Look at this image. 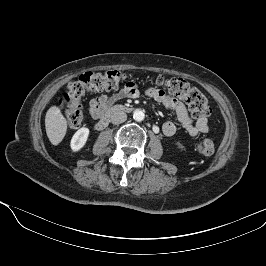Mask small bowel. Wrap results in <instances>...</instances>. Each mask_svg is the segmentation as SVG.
<instances>
[{"label":"small bowel","mask_w":266,"mask_h":266,"mask_svg":"<svg viewBox=\"0 0 266 266\" xmlns=\"http://www.w3.org/2000/svg\"><path fill=\"white\" fill-rule=\"evenodd\" d=\"M145 95L163 104L165 107L172 110L183 129L190 135L207 133L210 129L207 116H200L194 119L188 112L185 105L176 97L170 95L164 90L149 88L145 91ZM140 90L134 83H128L122 90L112 96L101 95L91 99L88 107L89 114L92 118L98 119L102 116L105 109L114 102L123 98H138ZM176 125L167 121L162 126V132L165 136L171 137L176 133Z\"/></svg>","instance_id":"obj_1"}]
</instances>
